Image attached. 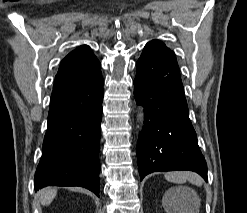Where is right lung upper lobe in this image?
<instances>
[{"instance_id":"1","label":"right lung upper lobe","mask_w":247,"mask_h":213,"mask_svg":"<svg viewBox=\"0 0 247 213\" xmlns=\"http://www.w3.org/2000/svg\"><path fill=\"white\" fill-rule=\"evenodd\" d=\"M100 67V62L89 46L82 45L70 52L60 63L55 83L88 73Z\"/></svg>"}]
</instances>
